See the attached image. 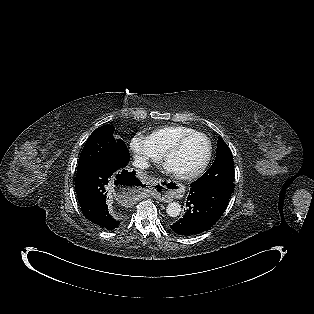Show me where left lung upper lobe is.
I'll list each match as a JSON object with an SVG mask.
<instances>
[{
  "label": "left lung upper lobe",
  "mask_w": 314,
  "mask_h": 314,
  "mask_svg": "<svg viewBox=\"0 0 314 314\" xmlns=\"http://www.w3.org/2000/svg\"><path fill=\"white\" fill-rule=\"evenodd\" d=\"M234 162L232 152L219 137L217 143V155L214 163L208 171H206L196 184H233Z\"/></svg>",
  "instance_id": "left-lung-upper-lobe-1"
}]
</instances>
